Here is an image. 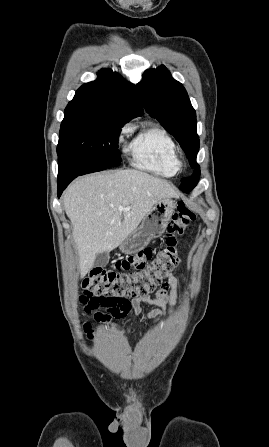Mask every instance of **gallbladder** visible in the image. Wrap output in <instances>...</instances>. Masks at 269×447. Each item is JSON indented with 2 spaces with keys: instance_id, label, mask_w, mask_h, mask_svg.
<instances>
[{
  "instance_id": "obj_1",
  "label": "gallbladder",
  "mask_w": 269,
  "mask_h": 447,
  "mask_svg": "<svg viewBox=\"0 0 269 447\" xmlns=\"http://www.w3.org/2000/svg\"><path fill=\"white\" fill-rule=\"evenodd\" d=\"M109 261L108 251H103V253H98L94 261V267H105Z\"/></svg>"
}]
</instances>
